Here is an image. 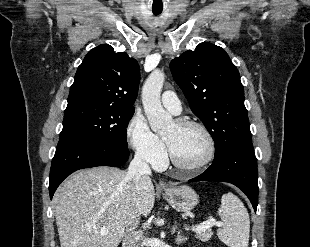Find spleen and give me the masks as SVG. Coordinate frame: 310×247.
<instances>
[{"mask_svg": "<svg viewBox=\"0 0 310 247\" xmlns=\"http://www.w3.org/2000/svg\"><path fill=\"white\" fill-rule=\"evenodd\" d=\"M218 214L223 223L218 238L229 247H248L250 219L242 201L231 192L224 194Z\"/></svg>", "mask_w": 310, "mask_h": 247, "instance_id": "spleen-1", "label": "spleen"}]
</instances>
